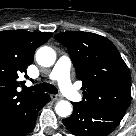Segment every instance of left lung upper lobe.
Wrapping results in <instances>:
<instances>
[{
  "instance_id": "1",
  "label": "left lung upper lobe",
  "mask_w": 136,
  "mask_h": 136,
  "mask_svg": "<svg viewBox=\"0 0 136 136\" xmlns=\"http://www.w3.org/2000/svg\"><path fill=\"white\" fill-rule=\"evenodd\" d=\"M55 38L68 49L83 83L81 103L125 114L131 99L130 74L114 44L89 32H62Z\"/></svg>"
}]
</instances>
